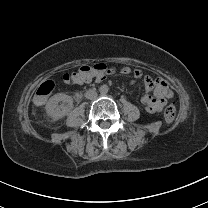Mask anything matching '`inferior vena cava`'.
<instances>
[{"mask_svg":"<svg viewBox=\"0 0 208 208\" xmlns=\"http://www.w3.org/2000/svg\"><path fill=\"white\" fill-rule=\"evenodd\" d=\"M85 97H86L87 99H91V100H92V99H95V98L97 97V93H96L95 90L90 89V90L86 91Z\"/></svg>","mask_w":208,"mask_h":208,"instance_id":"inferior-vena-cava-1","label":"inferior vena cava"}]
</instances>
